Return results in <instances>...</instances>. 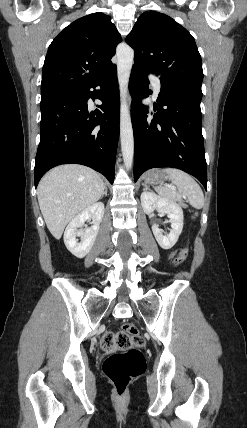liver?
<instances>
[{"instance_id":"1","label":"liver","mask_w":247,"mask_h":428,"mask_svg":"<svg viewBox=\"0 0 247 428\" xmlns=\"http://www.w3.org/2000/svg\"><path fill=\"white\" fill-rule=\"evenodd\" d=\"M100 175L86 166L53 168L39 182L38 202L50 233L59 240L66 225L97 202L104 192Z\"/></svg>"}]
</instances>
